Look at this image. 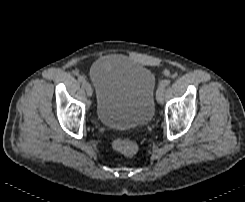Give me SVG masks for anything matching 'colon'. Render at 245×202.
Wrapping results in <instances>:
<instances>
[{
  "instance_id": "5ec220e1",
  "label": "colon",
  "mask_w": 245,
  "mask_h": 202,
  "mask_svg": "<svg viewBox=\"0 0 245 202\" xmlns=\"http://www.w3.org/2000/svg\"><path fill=\"white\" fill-rule=\"evenodd\" d=\"M112 146L118 153L127 157L135 155L138 151V145L136 142L124 138L113 140Z\"/></svg>"
}]
</instances>
